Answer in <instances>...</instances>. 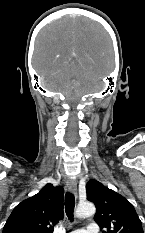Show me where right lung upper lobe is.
Returning <instances> with one entry per match:
<instances>
[{
    "label": "right lung upper lobe",
    "mask_w": 145,
    "mask_h": 233,
    "mask_svg": "<svg viewBox=\"0 0 145 233\" xmlns=\"http://www.w3.org/2000/svg\"><path fill=\"white\" fill-rule=\"evenodd\" d=\"M63 196L60 186L46 184L13 209L3 233H53V226L64 216Z\"/></svg>",
    "instance_id": "right-lung-upper-lobe-1"
}]
</instances>
